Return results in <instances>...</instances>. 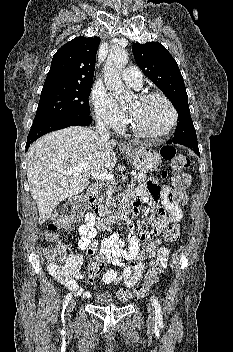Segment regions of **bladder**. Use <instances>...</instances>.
Masks as SVG:
<instances>
[{"label": "bladder", "mask_w": 233, "mask_h": 352, "mask_svg": "<svg viewBox=\"0 0 233 352\" xmlns=\"http://www.w3.org/2000/svg\"><path fill=\"white\" fill-rule=\"evenodd\" d=\"M94 302L95 304L100 306L119 304L118 301L115 299V297L109 291H106V290L98 291L97 294L95 295Z\"/></svg>", "instance_id": "obj_1"}]
</instances>
